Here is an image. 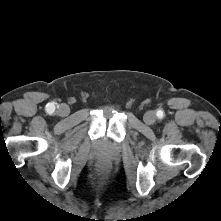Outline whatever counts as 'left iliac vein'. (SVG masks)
Returning a JSON list of instances; mask_svg holds the SVG:
<instances>
[{"mask_svg": "<svg viewBox=\"0 0 221 221\" xmlns=\"http://www.w3.org/2000/svg\"><path fill=\"white\" fill-rule=\"evenodd\" d=\"M156 121V114L154 111H148L144 115V122L148 125L154 124Z\"/></svg>", "mask_w": 221, "mask_h": 221, "instance_id": "left-iliac-vein-1", "label": "left iliac vein"}]
</instances>
